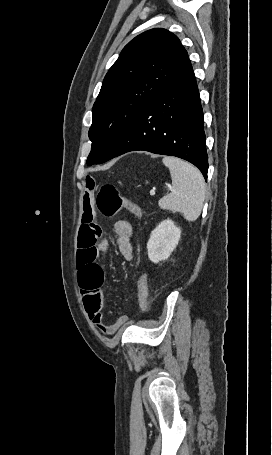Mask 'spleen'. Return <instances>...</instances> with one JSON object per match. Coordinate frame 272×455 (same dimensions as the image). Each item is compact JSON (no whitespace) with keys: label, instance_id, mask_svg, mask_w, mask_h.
<instances>
[{"label":"spleen","instance_id":"spleen-1","mask_svg":"<svg viewBox=\"0 0 272 455\" xmlns=\"http://www.w3.org/2000/svg\"><path fill=\"white\" fill-rule=\"evenodd\" d=\"M172 178V192L161 198V209L180 212L188 221H195L201 214L205 199V181L201 172L181 159L163 157Z\"/></svg>","mask_w":272,"mask_h":455}]
</instances>
